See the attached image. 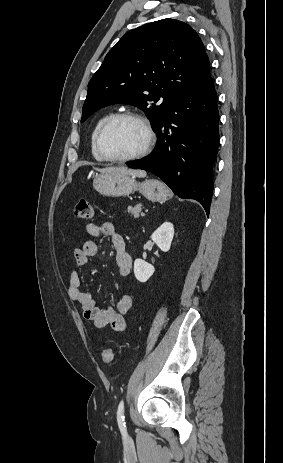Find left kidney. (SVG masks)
Masks as SVG:
<instances>
[{
  "label": "left kidney",
  "instance_id": "5707ae66",
  "mask_svg": "<svg viewBox=\"0 0 283 463\" xmlns=\"http://www.w3.org/2000/svg\"><path fill=\"white\" fill-rule=\"evenodd\" d=\"M174 236V227L170 222H164L151 235V239L163 252H168ZM154 267L142 259L134 261V275L140 282H146L154 273Z\"/></svg>",
  "mask_w": 283,
  "mask_h": 463
}]
</instances>
